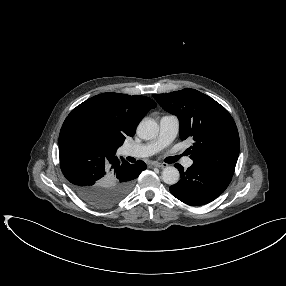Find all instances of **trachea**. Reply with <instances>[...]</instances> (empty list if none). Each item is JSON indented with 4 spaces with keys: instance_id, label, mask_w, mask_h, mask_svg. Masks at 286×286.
<instances>
[{
    "instance_id": "obj_1",
    "label": "trachea",
    "mask_w": 286,
    "mask_h": 286,
    "mask_svg": "<svg viewBox=\"0 0 286 286\" xmlns=\"http://www.w3.org/2000/svg\"><path fill=\"white\" fill-rule=\"evenodd\" d=\"M180 157H181V155L180 156H173V157H171V161L176 162Z\"/></svg>"
}]
</instances>
